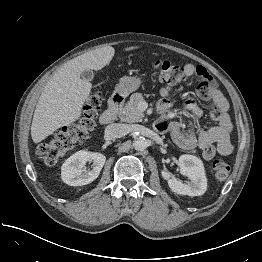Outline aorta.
Instances as JSON below:
<instances>
[{"label":"aorta","mask_w":262,"mask_h":262,"mask_svg":"<svg viewBox=\"0 0 262 262\" xmlns=\"http://www.w3.org/2000/svg\"><path fill=\"white\" fill-rule=\"evenodd\" d=\"M133 147L137 151H143L148 147V140L142 136H138L133 141Z\"/></svg>","instance_id":"obj_1"}]
</instances>
